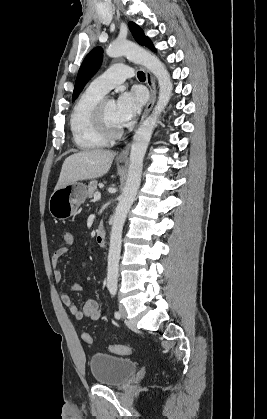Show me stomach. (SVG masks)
I'll list each match as a JSON object with an SVG mask.
<instances>
[{"label":"stomach","instance_id":"1","mask_svg":"<svg viewBox=\"0 0 267 419\" xmlns=\"http://www.w3.org/2000/svg\"><path fill=\"white\" fill-rule=\"evenodd\" d=\"M86 198L87 186L82 182H72L54 190L49 199V212L55 219L65 220L77 212Z\"/></svg>","mask_w":267,"mask_h":419}]
</instances>
